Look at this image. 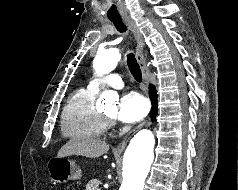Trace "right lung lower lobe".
<instances>
[{
  "mask_svg": "<svg viewBox=\"0 0 238 190\" xmlns=\"http://www.w3.org/2000/svg\"><path fill=\"white\" fill-rule=\"evenodd\" d=\"M149 96L152 102L151 117L154 120L157 115V94L156 89L153 85H150L149 87Z\"/></svg>",
  "mask_w": 238,
  "mask_h": 190,
  "instance_id": "98d812e1",
  "label": "right lung lower lobe"
}]
</instances>
